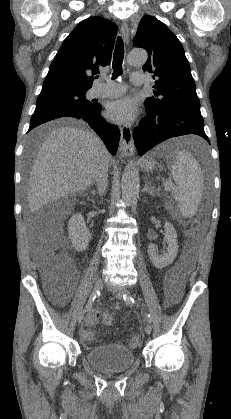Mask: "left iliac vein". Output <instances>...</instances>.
<instances>
[{
    "label": "left iliac vein",
    "mask_w": 231,
    "mask_h": 419,
    "mask_svg": "<svg viewBox=\"0 0 231 419\" xmlns=\"http://www.w3.org/2000/svg\"><path fill=\"white\" fill-rule=\"evenodd\" d=\"M125 292V288L121 287L115 290V296L119 299L122 300L123 299V295ZM145 333L146 334H150L152 331V327L150 324H146L144 327Z\"/></svg>",
    "instance_id": "1"
}]
</instances>
